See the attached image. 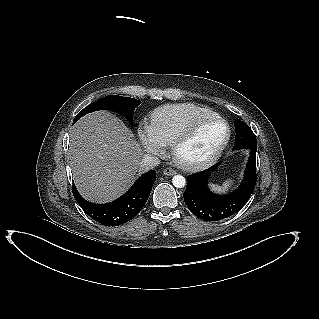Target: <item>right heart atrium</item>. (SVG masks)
Here are the masks:
<instances>
[{"label":"right heart atrium","mask_w":319,"mask_h":319,"mask_svg":"<svg viewBox=\"0 0 319 319\" xmlns=\"http://www.w3.org/2000/svg\"><path fill=\"white\" fill-rule=\"evenodd\" d=\"M137 135L142 148L155 156H162L166 150V144L154 133L147 123L139 124Z\"/></svg>","instance_id":"d8ad5b80"}]
</instances>
